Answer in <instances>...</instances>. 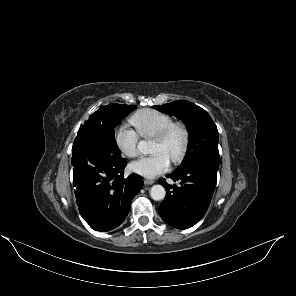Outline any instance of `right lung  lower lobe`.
<instances>
[{"mask_svg":"<svg viewBox=\"0 0 296 296\" xmlns=\"http://www.w3.org/2000/svg\"><path fill=\"white\" fill-rule=\"evenodd\" d=\"M71 163L76 202L83 219L101 232L118 227L143 187V179L136 174L124 178L127 160L93 137L75 138Z\"/></svg>","mask_w":296,"mask_h":296,"instance_id":"98d812e1","label":"right lung lower lobe"}]
</instances>
